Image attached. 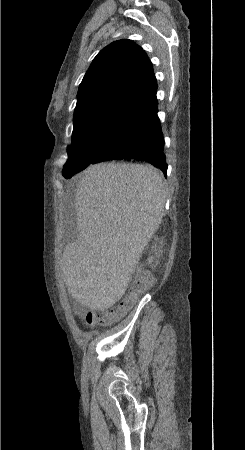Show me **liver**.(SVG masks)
<instances>
[{
  "instance_id": "6515ba94",
  "label": "liver",
  "mask_w": 245,
  "mask_h": 450,
  "mask_svg": "<svg viewBox=\"0 0 245 450\" xmlns=\"http://www.w3.org/2000/svg\"><path fill=\"white\" fill-rule=\"evenodd\" d=\"M166 194L151 165L99 163L84 171L75 197L79 234L61 260L73 298L93 310L122 298L162 221Z\"/></svg>"
}]
</instances>
